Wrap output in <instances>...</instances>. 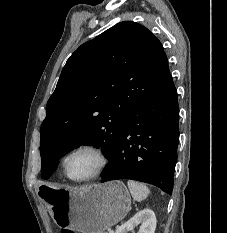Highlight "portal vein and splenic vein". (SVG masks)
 <instances>
[{"label": "portal vein and splenic vein", "mask_w": 227, "mask_h": 233, "mask_svg": "<svg viewBox=\"0 0 227 233\" xmlns=\"http://www.w3.org/2000/svg\"><path fill=\"white\" fill-rule=\"evenodd\" d=\"M109 233H114L112 230H109Z\"/></svg>", "instance_id": "portal-vein-and-splenic-vein-1"}]
</instances>
